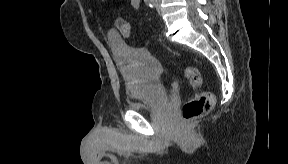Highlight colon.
I'll use <instances>...</instances> for the list:
<instances>
[{
	"label": "colon",
	"mask_w": 288,
	"mask_h": 164,
	"mask_svg": "<svg viewBox=\"0 0 288 164\" xmlns=\"http://www.w3.org/2000/svg\"><path fill=\"white\" fill-rule=\"evenodd\" d=\"M117 28L125 36L131 34L130 23L124 18H118ZM184 76L198 89V93L182 105V120H195V118L203 116L213 109L215 103L214 95L204 89L205 79L199 70L193 67H186Z\"/></svg>",
	"instance_id": "colon-1"
}]
</instances>
